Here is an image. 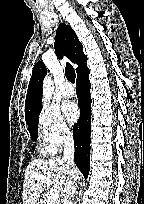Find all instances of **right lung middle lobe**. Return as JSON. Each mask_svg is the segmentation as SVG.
<instances>
[{
    "mask_svg": "<svg viewBox=\"0 0 144 204\" xmlns=\"http://www.w3.org/2000/svg\"><path fill=\"white\" fill-rule=\"evenodd\" d=\"M40 111L41 110H39L32 117L26 119V123L28 124V130L30 132L32 141H35L38 136L37 125H38V116H39Z\"/></svg>",
    "mask_w": 144,
    "mask_h": 204,
    "instance_id": "1",
    "label": "right lung middle lobe"
}]
</instances>
